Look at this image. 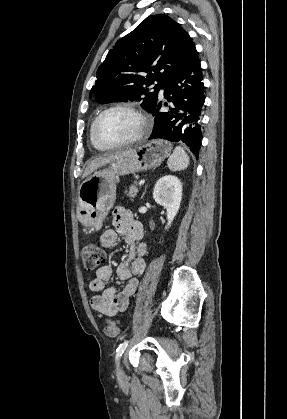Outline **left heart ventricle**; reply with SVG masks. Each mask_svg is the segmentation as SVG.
I'll return each instance as SVG.
<instances>
[{
    "instance_id": "left-heart-ventricle-1",
    "label": "left heart ventricle",
    "mask_w": 287,
    "mask_h": 419,
    "mask_svg": "<svg viewBox=\"0 0 287 419\" xmlns=\"http://www.w3.org/2000/svg\"><path fill=\"white\" fill-rule=\"evenodd\" d=\"M140 128L138 117L130 111L117 109L108 112L97 127L98 137L108 143H118L132 138Z\"/></svg>"
}]
</instances>
